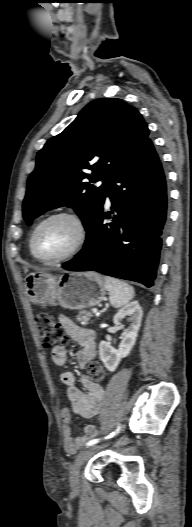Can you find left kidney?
Masks as SVG:
<instances>
[{"mask_svg": "<svg viewBox=\"0 0 192 527\" xmlns=\"http://www.w3.org/2000/svg\"><path fill=\"white\" fill-rule=\"evenodd\" d=\"M142 309L137 301H133L120 309L114 316L113 322L119 327L123 328L122 320L126 317L130 322L129 326L123 330V339L116 350L107 341H101L99 345V356L104 366L110 372H114L118 367L122 358L129 355L131 349L135 345L138 331L141 326Z\"/></svg>", "mask_w": 192, "mask_h": 527, "instance_id": "1", "label": "left kidney"}]
</instances>
